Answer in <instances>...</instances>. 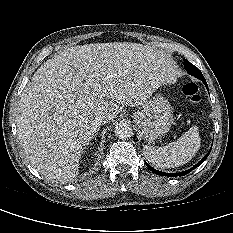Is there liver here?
<instances>
[{
  "mask_svg": "<svg viewBox=\"0 0 233 233\" xmlns=\"http://www.w3.org/2000/svg\"><path fill=\"white\" fill-rule=\"evenodd\" d=\"M173 71L164 54L131 42L74 46L48 59L20 96L18 138L32 167L70 181L96 135L95 115L112 121L122 106L144 105Z\"/></svg>",
  "mask_w": 233,
  "mask_h": 233,
  "instance_id": "6515ba94",
  "label": "liver"
}]
</instances>
